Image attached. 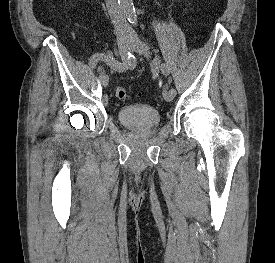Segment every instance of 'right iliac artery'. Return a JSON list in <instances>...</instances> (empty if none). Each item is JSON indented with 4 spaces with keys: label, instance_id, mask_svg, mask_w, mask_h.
<instances>
[{
    "label": "right iliac artery",
    "instance_id": "82829eb1",
    "mask_svg": "<svg viewBox=\"0 0 275 263\" xmlns=\"http://www.w3.org/2000/svg\"><path fill=\"white\" fill-rule=\"evenodd\" d=\"M134 58V56L129 52L127 54V58L123 62H118L115 60L111 53H98L93 55L89 60V65L91 68H95L99 61L105 62L109 67L119 71L123 72L127 70L131 64V60Z\"/></svg>",
    "mask_w": 275,
    "mask_h": 263
}]
</instances>
